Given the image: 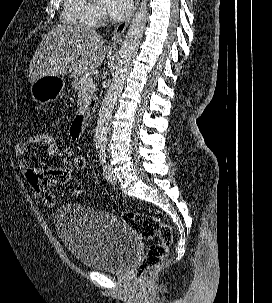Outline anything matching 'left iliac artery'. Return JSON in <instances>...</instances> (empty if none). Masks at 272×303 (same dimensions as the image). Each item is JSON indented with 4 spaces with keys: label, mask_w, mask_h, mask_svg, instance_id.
<instances>
[{
    "label": "left iliac artery",
    "mask_w": 272,
    "mask_h": 303,
    "mask_svg": "<svg viewBox=\"0 0 272 303\" xmlns=\"http://www.w3.org/2000/svg\"><path fill=\"white\" fill-rule=\"evenodd\" d=\"M99 157L102 164L106 163V153H105V145H101L99 148Z\"/></svg>",
    "instance_id": "44dca946"
}]
</instances>
